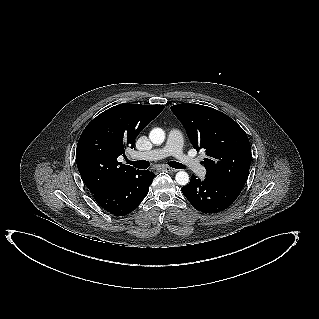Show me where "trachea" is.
Returning a JSON list of instances; mask_svg holds the SVG:
<instances>
[{
  "mask_svg": "<svg viewBox=\"0 0 319 319\" xmlns=\"http://www.w3.org/2000/svg\"><path fill=\"white\" fill-rule=\"evenodd\" d=\"M127 162L138 169H147L150 166L149 162L145 161V160H141V161H129L128 160ZM169 165L173 168H176V169H184L185 168L182 164L175 162V161L169 162Z\"/></svg>",
  "mask_w": 319,
  "mask_h": 319,
  "instance_id": "trachea-1",
  "label": "trachea"
}]
</instances>
